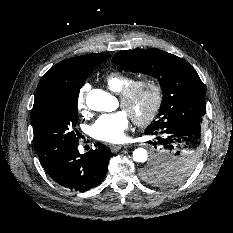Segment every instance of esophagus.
Wrapping results in <instances>:
<instances>
[{
  "instance_id": "esophagus-1",
  "label": "esophagus",
  "mask_w": 233,
  "mask_h": 233,
  "mask_svg": "<svg viewBox=\"0 0 233 233\" xmlns=\"http://www.w3.org/2000/svg\"><path fill=\"white\" fill-rule=\"evenodd\" d=\"M122 147V145H111L110 149L112 152H118Z\"/></svg>"
}]
</instances>
